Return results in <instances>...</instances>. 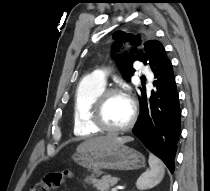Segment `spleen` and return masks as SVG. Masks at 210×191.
I'll list each match as a JSON object with an SVG mask.
<instances>
[{
  "instance_id": "3e777b00",
  "label": "spleen",
  "mask_w": 210,
  "mask_h": 191,
  "mask_svg": "<svg viewBox=\"0 0 210 191\" xmlns=\"http://www.w3.org/2000/svg\"><path fill=\"white\" fill-rule=\"evenodd\" d=\"M149 165L150 170L142 173L136 182V186L139 190L153 188L159 184L164 177L165 169L159 158L153 154H150Z\"/></svg>"
}]
</instances>
